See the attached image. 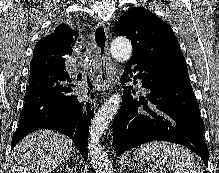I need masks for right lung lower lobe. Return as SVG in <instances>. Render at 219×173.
<instances>
[{"instance_id": "right-lung-lower-lobe-1", "label": "right lung lower lobe", "mask_w": 219, "mask_h": 173, "mask_svg": "<svg viewBox=\"0 0 219 173\" xmlns=\"http://www.w3.org/2000/svg\"><path fill=\"white\" fill-rule=\"evenodd\" d=\"M65 65L44 64L31 69L20 113V126L12 138V148L27 134L38 129L57 130L71 139L87 160V137L94 115L89 99L75 95L77 90Z\"/></svg>"}]
</instances>
